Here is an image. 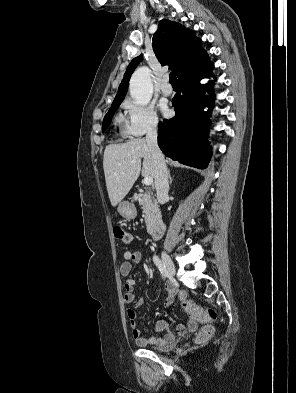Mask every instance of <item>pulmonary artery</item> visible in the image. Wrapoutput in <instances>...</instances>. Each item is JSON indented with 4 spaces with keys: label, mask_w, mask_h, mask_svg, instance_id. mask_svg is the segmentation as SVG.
Returning a JSON list of instances; mask_svg holds the SVG:
<instances>
[{
    "label": "pulmonary artery",
    "mask_w": 296,
    "mask_h": 393,
    "mask_svg": "<svg viewBox=\"0 0 296 393\" xmlns=\"http://www.w3.org/2000/svg\"><path fill=\"white\" fill-rule=\"evenodd\" d=\"M161 92L164 95H170L173 92L172 86L169 83L168 76H164L160 85Z\"/></svg>",
    "instance_id": "pulmonary-artery-1"
}]
</instances>
